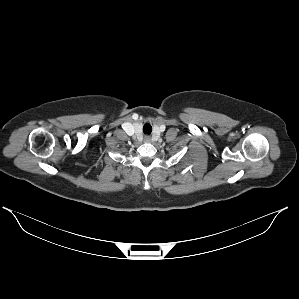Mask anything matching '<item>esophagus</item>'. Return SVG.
<instances>
[{
  "mask_svg": "<svg viewBox=\"0 0 299 299\" xmlns=\"http://www.w3.org/2000/svg\"><path fill=\"white\" fill-rule=\"evenodd\" d=\"M150 140H151L150 136L146 135L145 138H144V141L145 142H150Z\"/></svg>",
  "mask_w": 299,
  "mask_h": 299,
  "instance_id": "34e87169",
  "label": "esophagus"
}]
</instances>
